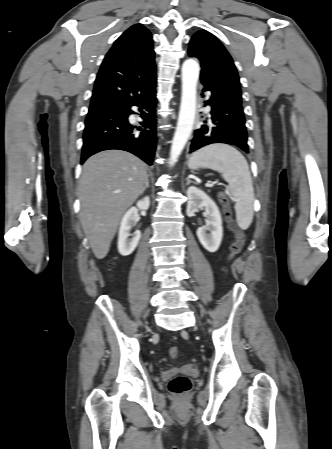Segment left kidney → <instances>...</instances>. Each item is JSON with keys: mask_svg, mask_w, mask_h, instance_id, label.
<instances>
[{"mask_svg": "<svg viewBox=\"0 0 332 449\" xmlns=\"http://www.w3.org/2000/svg\"><path fill=\"white\" fill-rule=\"evenodd\" d=\"M187 197L186 213L189 217L194 216L199 209H205L206 225L197 229V237L207 251L216 252L223 237L222 218L217 205L205 192L195 186L188 188ZM206 230H210V234H207Z\"/></svg>", "mask_w": 332, "mask_h": 449, "instance_id": "5707ae66", "label": "left kidney"}]
</instances>
